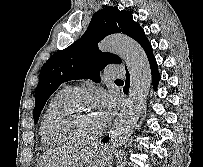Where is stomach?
I'll list each match as a JSON object with an SVG mask.
<instances>
[{
	"instance_id": "0dacf381",
	"label": "stomach",
	"mask_w": 203,
	"mask_h": 167,
	"mask_svg": "<svg viewBox=\"0 0 203 167\" xmlns=\"http://www.w3.org/2000/svg\"><path fill=\"white\" fill-rule=\"evenodd\" d=\"M109 163V155L102 149L95 147L85 167H106Z\"/></svg>"
}]
</instances>
